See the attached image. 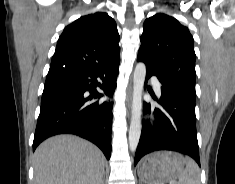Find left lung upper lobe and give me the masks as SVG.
<instances>
[{"label": "left lung upper lobe", "instance_id": "5c2ea615", "mask_svg": "<svg viewBox=\"0 0 235 184\" xmlns=\"http://www.w3.org/2000/svg\"><path fill=\"white\" fill-rule=\"evenodd\" d=\"M138 58L169 85L196 99L194 39L187 27L166 14L145 20Z\"/></svg>", "mask_w": 235, "mask_h": 184}]
</instances>
